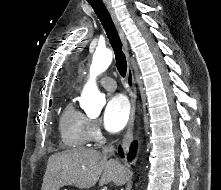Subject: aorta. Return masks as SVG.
I'll list each match as a JSON object with an SVG mask.
<instances>
[{"mask_svg": "<svg viewBox=\"0 0 221 190\" xmlns=\"http://www.w3.org/2000/svg\"><path fill=\"white\" fill-rule=\"evenodd\" d=\"M112 59L113 54L109 49H98L93 55L90 78L81 94V105L89 117L98 116L105 104L104 96L96 85V77L110 66Z\"/></svg>", "mask_w": 221, "mask_h": 190, "instance_id": "762f6f07", "label": "aorta"}]
</instances>
